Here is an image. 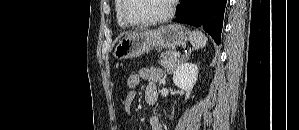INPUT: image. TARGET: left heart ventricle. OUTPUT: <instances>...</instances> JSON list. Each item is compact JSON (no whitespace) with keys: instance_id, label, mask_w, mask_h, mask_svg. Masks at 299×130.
<instances>
[{"instance_id":"obj_1","label":"left heart ventricle","mask_w":299,"mask_h":130,"mask_svg":"<svg viewBox=\"0 0 299 130\" xmlns=\"http://www.w3.org/2000/svg\"><path fill=\"white\" fill-rule=\"evenodd\" d=\"M169 3V0H129L127 14L134 20H149L166 13Z\"/></svg>"}]
</instances>
